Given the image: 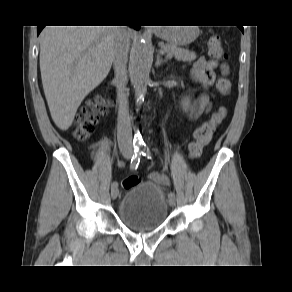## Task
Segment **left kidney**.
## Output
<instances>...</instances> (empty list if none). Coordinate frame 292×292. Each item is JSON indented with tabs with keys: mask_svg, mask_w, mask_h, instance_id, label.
I'll return each mask as SVG.
<instances>
[{
	"mask_svg": "<svg viewBox=\"0 0 292 292\" xmlns=\"http://www.w3.org/2000/svg\"><path fill=\"white\" fill-rule=\"evenodd\" d=\"M180 104H181V107H182L183 111H185V112L188 111L190 106H191L190 97L189 96L182 97Z\"/></svg>",
	"mask_w": 292,
	"mask_h": 292,
	"instance_id": "5707ae66",
	"label": "left kidney"
}]
</instances>
